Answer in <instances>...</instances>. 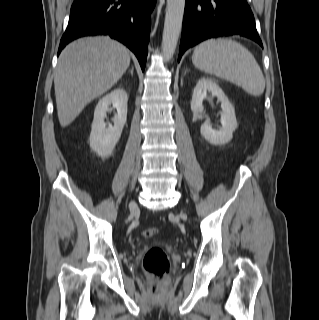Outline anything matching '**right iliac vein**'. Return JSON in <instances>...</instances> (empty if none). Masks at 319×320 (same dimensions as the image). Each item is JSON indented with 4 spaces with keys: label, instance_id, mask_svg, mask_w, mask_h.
Listing matches in <instances>:
<instances>
[{
    "label": "right iliac vein",
    "instance_id": "right-iliac-vein-1",
    "mask_svg": "<svg viewBox=\"0 0 319 320\" xmlns=\"http://www.w3.org/2000/svg\"><path fill=\"white\" fill-rule=\"evenodd\" d=\"M129 209H130V211H132V212H135V211L138 210V206H137V204H136L135 201H131V202H130V204H129Z\"/></svg>",
    "mask_w": 319,
    "mask_h": 320
}]
</instances>
